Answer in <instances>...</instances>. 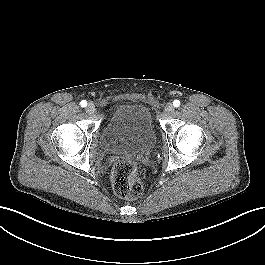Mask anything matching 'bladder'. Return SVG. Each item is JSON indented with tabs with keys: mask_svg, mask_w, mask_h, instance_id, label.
Here are the masks:
<instances>
[{
	"mask_svg": "<svg viewBox=\"0 0 265 265\" xmlns=\"http://www.w3.org/2000/svg\"><path fill=\"white\" fill-rule=\"evenodd\" d=\"M156 142V130L150 108L129 102L116 107L106 122L100 144L107 153L140 154Z\"/></svg>",
	"mask_w": 265,
	"mask_h": 265,
	"instance_id": "31cf9c89",
	"label": "bladder"
}]
</instances>
